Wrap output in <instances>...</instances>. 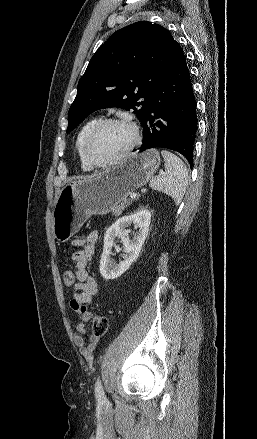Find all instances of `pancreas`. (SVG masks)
Instances as JSON below:
<instances>
[{
  "label": "pancreas",
  "instance_id": "1",
  "mask_svg": "<svg viewBox=\"0 0 257 439\" xmlns=\"http://www.w3.org/2000/svg\"><path fill=\"white\" fill-rule=\"evenodd\" d=\"M130 203H131L130 200H125V201H123L121 204L117 205L116 207H114V208L112 209V214H113L114 216H119V215L122 213V211H123L128 205H130Z\"/></svg>",
  "mask_w": 257,
  "mask_h": 439
}]
</instances>
